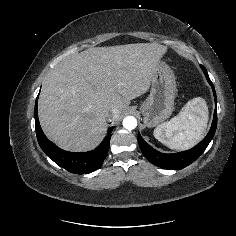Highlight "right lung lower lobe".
<instances>
[{"label": "right lung lower lobe", "mask_w": 236, "mask_h": 236, "mask_svg": "<svg viewBox=\"0 0 236 236\" xmlns=\"http://www.w3.org/2000/svg\"><path fill=\"white\" fill-rule=\"evenodd\" d=\"M37 106L38 97L35 102L36 135L40 147L50 159L67 171L75 174H87L93 172L103 164V161L108 154L111 131L114 127L109 129L108 134L102 143L93 151L82 153L64 151L49 141L43 133L39 124Z\"/></svg>", "instance_id": "right-lung-lower-lobe-1"}]
</instances>
